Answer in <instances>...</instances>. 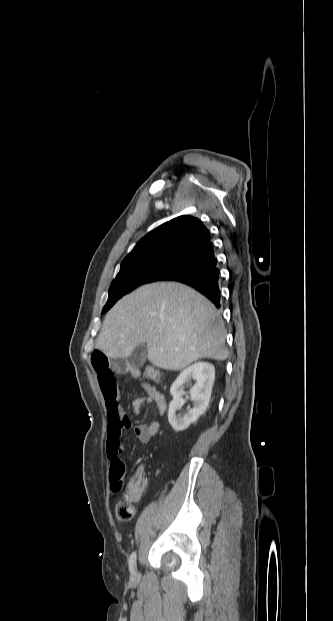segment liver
<instances>
[{"mask_svg":"<svg viewBox=\"0 0 333 621\" xmlns=\"http://www.w3.org/2000/svg\"><path fill=\"white\" fill-rule=\"evenodd\" d=\"M226 332L215 306L192 288L176 282L145 285L119 300L107 313L96 349L126 359L140 344L149 361L182 370L208 358L223 361Z\"/></svg>","mask_w":333,"mask_h":621,"instance_id":"liver-1","label":"liver"}]
</instances>
